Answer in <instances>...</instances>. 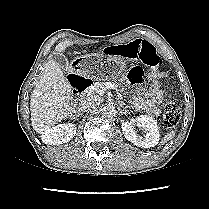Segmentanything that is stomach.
<instances>
[{"label": "stomach", "mask_w": 209, "mask_h": 209, "mask_svg": "<svg viewBox=\"0 0 209 209\" xmlns=\"http://www.w3.org/2000/svg\"><path fill=\"white\" fill-rule=\"evenodd\" d=\"M72 68L75 73L91 80L110 81L123 78L128 70L126 60L118 55H88L74 59Z\"/></svg>", "instance_id": "obj_1"}]
</instances>
